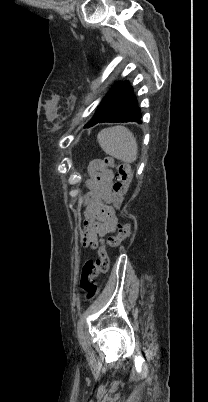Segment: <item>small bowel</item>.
<instances>
[{"label":"small bowel","instance_id":"obj_1","mask_svg":"<svg viewBox=\"0 0 208 402\" xmlns=\"http://www.w3.org/2000/svg\"><path fill=\"white\" fill-rule=\"evenodd\" d=\"M87 187L83 196L85 216L82 231L83 245L96 248L100 241L112 235L118 226L113 200V182L115 174L102 160L89 163Z\"/></svg>","mask_w":208,"mask_h":402}]
</instances>
